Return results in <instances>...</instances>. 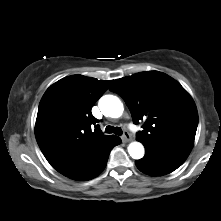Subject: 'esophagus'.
Segmentation results:
<instances>
[{
	"mask_svg": "<svg viewBox=\"0 0 221 221\" xmlns=\"http://www.w3.org/2000/svg\"><path fill=\"white\" fill-rule=\"evenodd\" d=\"M130 139H131V135L127 131H125L122 135L123 142H128Z\"/></svg>",
	"mask_w": 221,
	"mask_h": 221,
	"instance_id": "obj_1",
	"label": "esophagus"
}]
</instances>
